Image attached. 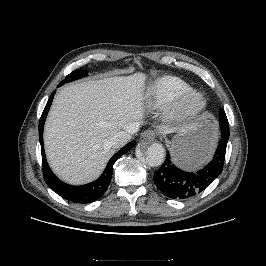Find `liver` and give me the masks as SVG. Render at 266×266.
I'll use <instances>...</instances> for the list:
<instances>
[{"instance_id":"liver-1","label":"liver","mask_w":266,"mask_h":266,"mask_svg":"<svg viewBox=\"0 0 266 266\" xmlns=\"http://www.w3.org/2000/svg\"><path fill=\"white\" fill-rule=\"evenodd\" d=\"M146 80L137 72L70 84L58 92L44 128L47 159L58 177L84 184L100 176L116 151L110 139L143 122Z\"/></svg>"}]
</instances>
